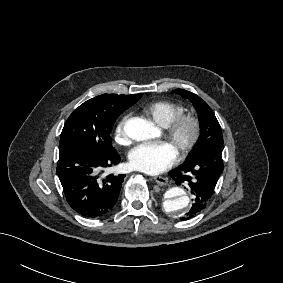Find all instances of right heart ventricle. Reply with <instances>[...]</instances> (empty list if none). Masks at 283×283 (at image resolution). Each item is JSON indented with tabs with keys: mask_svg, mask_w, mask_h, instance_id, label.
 <instances>
[{
	"mask_svg": "<svg viewBox=\"0 0 283 283\" xmlns=\"http://www.w3.org/2000/svg\"><path fill=\"white\" fill-rule=\"evenodd\" d=\"M184 106L176 101L160 99L149 103L145 112L161 127H167L175 118L182 115Z\"/></svg>",
	"mask_w": 283,
	"mask_h": 283,
	"instance_id": "obj_1",
	"label": "right heart ventricle"
}]
</instances>
